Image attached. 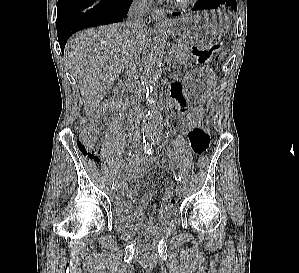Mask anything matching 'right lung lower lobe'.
<instances>
[{
  "label": "right lung lower lobe",
  "instance_id": "1",
  "mask_svg": "<svg viewBox=\"0 0 299 273\" xmlns=\"http://www.w3.org/2000/svg\"><path fill=\"white\" fill-rule=\"evenodd\" d=\"M133 0H58L57 35L62 53L68 38L92 26L119 22Z\"/></svg>",
  "mask_w": 299,
  "mask_h": 273
}]
</instances>
